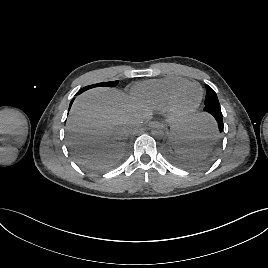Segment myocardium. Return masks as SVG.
<instances>
[{
    "label": "myocardium",
    "instance_id": "1",
    "mask_svg": "<svg viewBox=\"0 0 268 268\" xmlns=\"http://www.w3.org/2000/svg\"><path fill=\"white\" fill-rule=\"evenodd\" d=\"M197 87L200 91V95H199V99L198 101L196 102V104L194 106H192L191 108H188V109H181L179 106H178V98L179 96L189 87ZM202 98H203V89L202 87L197 84V83H187L185 85H182L180 86L179 88H177L173 93L172 95L170 96L169 98V101H168V109L169 111L175 115L176 117H186V116H189L190 114H192L193 112H195L197 110V108L200 106L201 102H202Z\"/></svg>",
    "mask_w": 268,
    "mask_h": 268
}]
</instances>
